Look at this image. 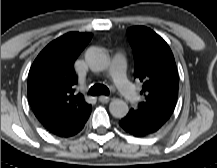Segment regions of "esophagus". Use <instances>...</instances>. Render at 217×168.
Returning <instances> with one entry per match:
<instances>
[{
  "label": "esophagus",
  "instance_id": "1",
  "mask_svg": "<svg viewBox=\"0 0 217 168\" xmlns=\"http://www.w3.org/2000/svg\"><path fill=\"white\" fill-rule=\"evenodd\" d=\"M98 100L101 103H108L110 101V97L105 96V95H101L98 97Z\"/></svg>",
  "mask_w": 217,
  "mask_h": 168
}]
</instances>
